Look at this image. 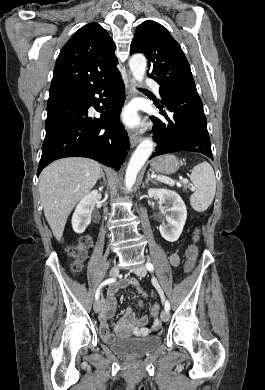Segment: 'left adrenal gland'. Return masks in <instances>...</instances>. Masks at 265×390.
<instances>
[{"mask_svg": "<svg viewBox=\"0 0 265 390\" xmlns=\"http://www.w3.org/2000/svg\"><path fill=\"white\" fill-rule=\"evenodd\" d=\"M149 181H151L152 183H156V181L150 177V172H147V179L145 180V184H147Z\"/></svg>", "mask_w": 265, "mask_h": 390, "instance_id": "obj_1", "label": "left adrenal gland"}]
</instances>
